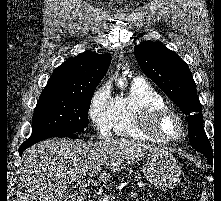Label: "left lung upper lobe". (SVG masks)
Returning a JSON list of instances; mask_svg holds the SVG:
<instances>
[{
    "label": "left lung upper lobe",
    "instance_id": "left-lung-upper-lobe-1",
    "mask_svg": "<svg viewBox=\"0 0 221 201\" xmlns=\"http://www.w3.org/2000/svg\"><path fill=\"white\" fill-rule=\"evenodd\" d=\"M134 52L142 71L188 115L191 146L205 156H212V147L204 132L196 83L188 65L160 42L145 41L136 45Z\"/></svg>",
    "mask_w": 221,
    "mask_h": 201
}]
</instances>
